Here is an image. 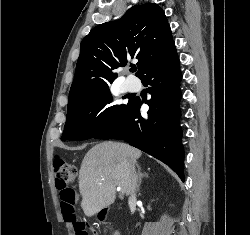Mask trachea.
I'll return each instance as SVG.
<instances>
[{"label": "trachea", "mask_w": 250, "mask_h": 235, "mask_svg": "<svg viewBox=\"0 0 250 235\" xmlns=\"http://www.w3.org/2000/svg\"><path fill=\"white\" fill-rule=\"evenodd\" d=\"M136 70H137L136 67H132V68L130 69L131 72H136Z\"/></svg>", "instance_id": "trachea-1"}]
</instances>
